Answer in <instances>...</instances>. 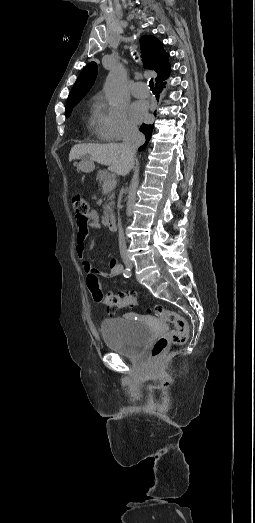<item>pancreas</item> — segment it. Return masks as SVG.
I'll list each match as a JSON object with an SVG mask.
<instances>
[{"mask_svg": "<svg viewBox=\"0 0 255 523\" xmlns=\"http://www.w3.org/2000/svg\"><path fill=\"white\" fill-rule=\"evenodd\" d=\"M97 178L99 180V184H101V186H104V182H110V180H115V176H111L109 170H99L98 174H97ZM116 186V184H115ZM114 186V188H115ZM111 192V190H110ZM114 198V194H109L108 196V200H113ZM112 206H114V202H109V204H105L104 206V216H106V214H110V212H112Z\"/></svg>", "mask_w": 255, "mask_h": 523, "instance_id": "1", "label": "pancreas"}]
</instances>
